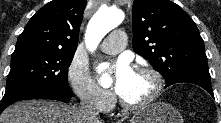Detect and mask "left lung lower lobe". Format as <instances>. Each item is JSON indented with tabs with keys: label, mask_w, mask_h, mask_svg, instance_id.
<instances>
[{
	"label": "left lung lower lobe",
	"mask_w": 221,
	"mask_h": 123,
	"mask_svg": "<svg viewBox=\"0 0 221 123\" xmlns=\"http://www.w3.org/2000/svg\"><path fill=\"white\" fill-rule=\"evenodd\" d=\"M181 82L196 84V85L204 88L206 91H208L214 97L210 79L202 78V77H198V76H187V77L178 78L176 80H172L171 82L166 83L165 88L172 85V84L181 83Z\"/></svg>",
	"instance_id": "0a47b994"
}]
</instances>
